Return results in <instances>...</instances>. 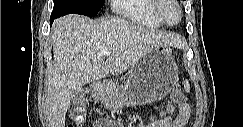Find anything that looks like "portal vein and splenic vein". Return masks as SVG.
I'll list each match as a JSON object with an SVG mask.
<instances>
[{
  "label": "portal vein and splenic vein",
  "mask_w": 243,
  "mask_h": 127,
  "mask_svg": "<svg viewBox=\"0 0 243 127\" xmlns=\"http://www.w3.org/2000/svg\"><path fill=\"white\" fill-rule=\"evenodd\" d=\"M101 54L104 56H109L111 54V51L109 49H105L101 51Z\"/></svg>",
  "instance_id": "1"
}]
</instances>
